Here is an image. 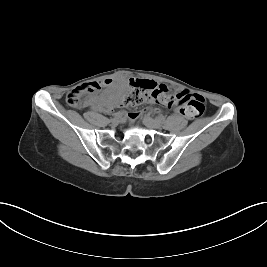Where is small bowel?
Returning a JSON list of instances; mask_svg holds the SVG:
<instances>
[{
    "label": "small bowel",
    "mask_w": 267,
    "mask_h": 267,
    "mask_svg": "<svg viewBox=\"0 0 267 267\" xmlns=\"http://www.w3.org/2000/svg\"><path fill=\"white\" fill-rule=\"evenodd\" d=\"M106 85H107V81H102V82H97V83H93V84L85 85V86H87V88L97 89V88H100ZM182 92H178L173 96V102L170 105V107L176 108L177 111H179V107L182 103V98L180 97V94ZM120 97H121V92L117 91L108 96L90 98L87 102V105L97 110H108L111 106H121V102L117 101V98H120ZM135 116H136V113L128 114V117L131 119L134 118Z\"/></svg>",
    "instance_id": "1"
}]
</instances>
